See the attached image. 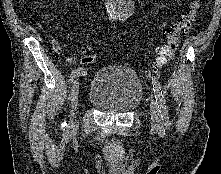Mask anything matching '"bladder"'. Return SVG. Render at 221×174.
Listing matches in <instances>:
<instances>
[{
  "mask_svg": "<svg viewBox=\"0 0 221 174\" xmlns=\"http://www.w3.org/2000/svg\"><path fill=\"white\" fill-rule=\"evenodd\" d=\"M143 96L142 82L130 68L107 65L98 69L90 82L87 98L104 113L123 114L138 107Z\"/></svg>",
  "mask_w": 221,
  "mask_h": 174,
  "instance_id": "bladder-1",
  "label": "bladder"
}]
</instances>
